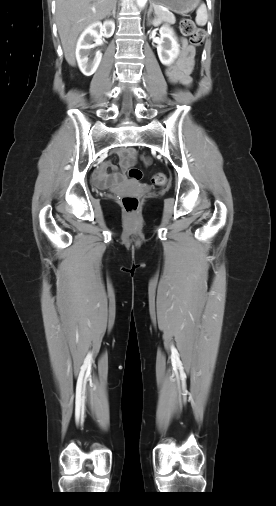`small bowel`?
Masks as SVG:
<instances>
[{
	"label": "small bowel",
	"instance_id": "c3829d8e",
	"mask_svg": "<svg viewBox=\"0 0 276 506\" xmlns=\"http://www.w3.org/2000/svg\"><path fill=\"white\" fill-rule=\"evenodd\" d=\"M194 48L185 40L182 41V50L177 62L166 68V75L172 83H178L185 86L191 84L190 73L193 68ZM137 150L134 148H125L120 151V171L112 175H107L106 168L116 170V166L110 162L102 165L101 169L95 174V186L100 189H106L118 185L125 178V171L135 162Z\"/></svg>",
	"mask_w": 276,
	"mask_h": 506
}]
</instances>
